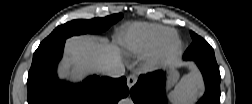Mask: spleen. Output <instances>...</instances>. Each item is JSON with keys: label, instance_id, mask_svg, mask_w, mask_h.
<instances>
[{"label": "spleen", "instance_id": "spleen-1", "mask_svg": "<svg viewBox=\"0 0 252 104\" xmlns=\"http://www.w3.org/2000/svg\"><path fill=\"white\" fill-rule=\"evenodd\" d=\"M201 93V82L197 74L190 73L174 90L175 98L180 102L194 100Z\"/></svg>", "mask_w": 252, "mask_h": 104}]
</instances>
